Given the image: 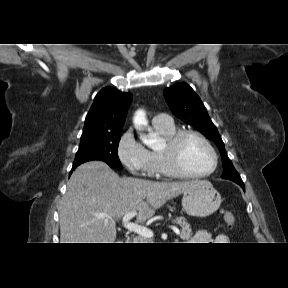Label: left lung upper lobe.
I'll return each mask as SVG.
<instances>
[{"label": "left lung upper lobe", "instance_id": "5c2ea615", "mask_svg": "<svg viewBox=\"0 0 288 288\" xmlns=\"http://www.w3.org/2000/svg\"><path fill=\"white\" fill-rule=\"evenodd\" d=\"M164 97L171 111L178 118L190 124L216 143L220 150L224 167L222 178L244 185L240 175L228 158L217 128L212 123L205 106L194 90L187 83H179L166 88Z\"/></svg>", "mask_w": 288, "mask_h": 288}]
</instances>
